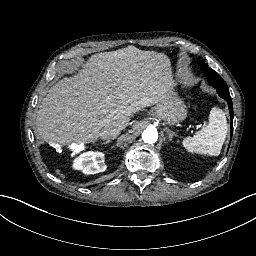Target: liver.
<instances>
[{
  "label": "liver",
  "mask_w": 256,
  "mask_h": 256,
  "mask_svg": "<svg viewBox=\"0 0 256 256\" xmlns=\"http://www.w3.org/2000/svg\"><path fill=\"white\" fill-rule=\"evenodd\" d=\"M168 57L135 46L95 54L84 70L49 90L36 117L39 135L59 145L91 144L124 129L139 110L173 90Z\"/></svg>",
  "instance_id": "obj_1"
}]
</instances>
